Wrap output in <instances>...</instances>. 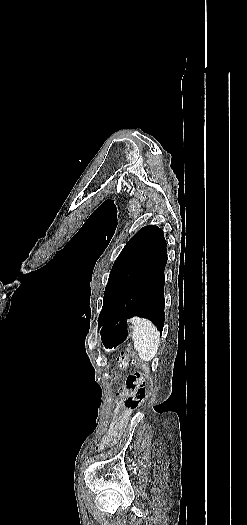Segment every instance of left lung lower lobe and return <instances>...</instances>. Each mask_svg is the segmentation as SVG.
Segmentation results:
<instances>
[{
    "label": "left lung lower lobe",
    "mask_w": 247,
    "mask_h": 525,
    "mask_svg": "<svg viewBox=\"0 0 247 525\" xmlns=\"http://www.w3.org/2000/svg\"><path fill=\"white\" fill-rule=\"evenodd\" d=\"M167 262L166 241L154 254L148 267L105 314L101 325L139 316L153 321L160 333L164 326V268Z\"/></svg>",
    "instance_id": "0a47b994"
}]
</instances>
